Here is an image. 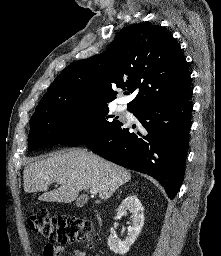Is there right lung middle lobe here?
Wrapping results in <instances>:
<instances>
[{"label":"right lung middle lobe","mask_w":221,"mask_h":256,"mask_svg":"<svg viewBox=\"0 0 221 256\" xmlns=\"http://www.w3.org/2000/svg\"><path fill=\"white\" fill-rule=\"evenodd\" d=\"M119 122L118 117L109 115L107 103H81L34 113L30 119L28 148L83 145Z\"/></svg>","instance_id":"right-lung-middle-lobe-1"}]
</instances>
